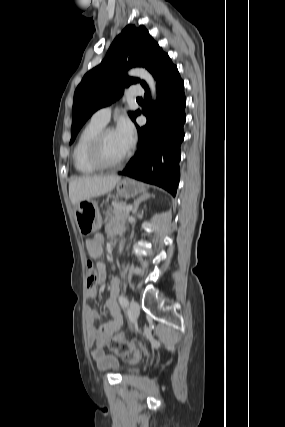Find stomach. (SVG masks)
<instances>
[{
  "label": "stomach",
  "mask_w": 285,
  "mask_h": 427,
  "mask_svg": "<svg viewBox=\"0 0 285 427\" xmlns=\"http://www.w3.org/2000/svg\"><path fill=\"white\" fill-rule=\"evenodd\" d=\"M117 194L125 199L135 197L146 192V187L135 180L120 179L116 185ZM76 222L83 234L95 232L104 222L112 218V211L107 210L105 217L101 216L96 202L89 200L80 202L75 210Z\"/></svg>",
  "instance_id": "stomach-1"
}]
</instances>
